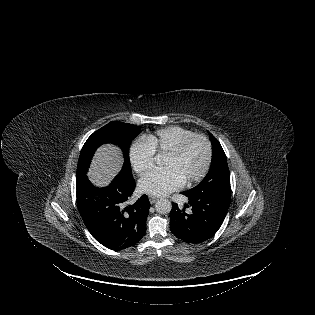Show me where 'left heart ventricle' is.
Here are the masks:
<instances>
[{"label":"left heart ventricle","instance_id":"b2bd125f","mask_svg":"<svg viewBox=\"0 0 315 315\" xmlns=\"http://www.w3.org/2000/svg\"><path fill=\"white\" fill-rule=\"evenodd\" d=\"M205 158V143L202 140H195L181 155H167L164 159V165L176 169L187 180L201 171Z\"/></svg>","mask_w":315,"mask_h":315}]
</instances>
